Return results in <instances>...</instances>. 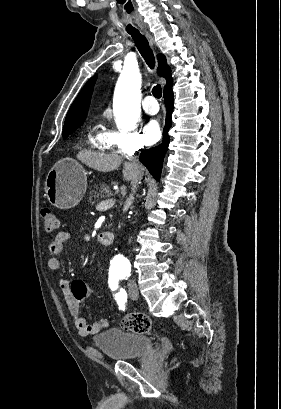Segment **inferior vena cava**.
<instances>
[{"label": "inferior vena cava", "mask_w": 281, "mask_h": 409, "mask_svg": "<svg viewBox=\"0 0 281 409\" xmlns=\"http://www.w3.org/2000/svg\"><path fill=\"white\" fill-rule=\"evenodd\" d=\"M130 160H132L133 164H134V168H135V174L134 176H132L131 178V190H132V194H134V192H136V188H138V184L143 176V166L142 164H140L138 158H134V156H132V158H130Z\"/></svg>", "instance_id": "obj_1"}]
</instances>
